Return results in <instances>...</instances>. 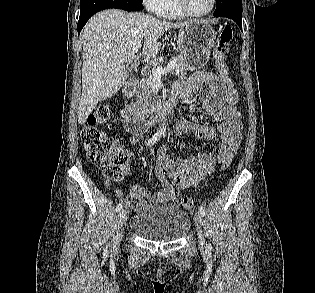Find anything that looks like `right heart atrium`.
I'll return each mask as SVG.
<instances>
[{
  "label": "right heart atrium",
  "mask_w": 315,
  "mask_h": 293,
  "mask_svg": "<svg viewBox=\"0 0 315 293\" xmlns=\"http://www.w3.org/2000/svg\"><path fill=\"white\" fill-rule=\"evenodd\" d=\"M162 0H142V3L147 10L151 12H157Z\"/></svg>",
  "instance_id": "d8ad5b80"
}]
</instances>
